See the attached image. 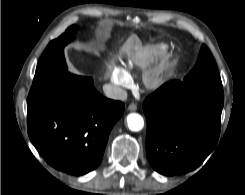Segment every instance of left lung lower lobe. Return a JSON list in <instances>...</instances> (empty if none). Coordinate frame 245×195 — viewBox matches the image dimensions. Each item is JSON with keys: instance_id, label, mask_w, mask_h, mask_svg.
<instances>
[{"instance_id": "left-lung-lower-lobe-1", "label": "left lung lower lobe", "mask_w": 245, "mask_h": 195, "mask_svg": "<svg viewBox=\"0 0 245 195\" xmlns=\"http://www.w3.org/2000/svg\"><path fill=\"white\" fill-rule=\"evenodd\" d=\"M223 89L170 81L146 98V152L166 176L194 170L211 153L220 134Z\"/></svg>"}]
</instances>
